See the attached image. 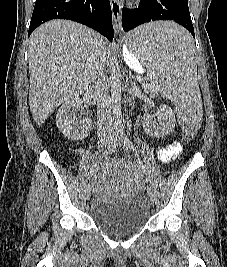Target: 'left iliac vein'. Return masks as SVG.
<instances>
[{"label": "left iliac vein", "mask_w": 227, "mask_h": 267, "mask_svg": "<svg viewBox=\"0 0 227 267\" xmlns=\"http://www.w3.org/2000/svg\"><path fill=\"white\" fill-rule=\"evenodd\" d=\"M113 138L116 139L117 138V141L119 142L120 145H122V141L119 137H117L116 134L113 135ZM146 190H147V194H148V197L150 199V201L152 203H154V199H155V195H154V190L153 188L150 186V185H147L146 187Z\"/></svg>", "instance_id": "4c4485c4"}]
</instances>
